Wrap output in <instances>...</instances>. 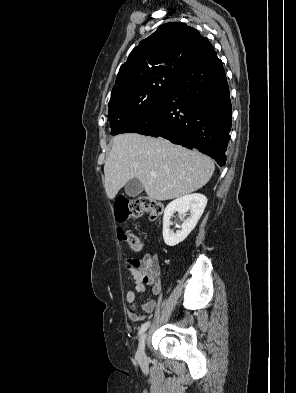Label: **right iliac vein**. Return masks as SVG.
Instances as JSON below:
<instances>
[{"instance_id":"obj_1","label":"right iliac vein","mask_w":296,"mask_h":393,"mask_svg":"<svg viewBox=\"0 0 296 393\" xmlns=\"http://www.w3.org/2000/svg\"><path fill=\"white\" fill-rule=\"evenodd\" d=\"M145 343H146V333H143L139 339V345L137 350V359L143 361L145 359Z\"/></svg>"}]
</instances>
